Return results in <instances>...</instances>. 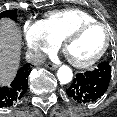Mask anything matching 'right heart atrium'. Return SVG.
I'll list each match as a JSON object with an SVG mask.
<instances>
[{
	"mask_svg": "<svg viewBox=\"0 0 117 117\" xmlns=\"http://www.w3.org/2000/svg\"><path fill=\"white\" fill-rule=\"evenodd\" d=\"M23 40L27 55L33 62H40L45 53L53 51L59 44L42 21L26 22L23 26Z\"/></svg>",
	"mask_w": 117,
	"mask_h": 117,
	"instance_id": "right-heart-atrium-1",
	"label": "right heart atrium"
}]
</instances>
